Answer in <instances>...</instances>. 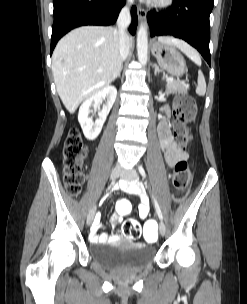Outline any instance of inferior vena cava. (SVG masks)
Listing matches in <instances>:
<instances>
[{"mask_svg": "<svg viewBox=\"0 0 247 304\" xmlns=\"http://www.w3.org/2000/svg\"><path fill=\"white\" fill-rule=\"evenodd\" d=\"M129 4L133 3V0H128ZM131 22V16L129 7H124L118 17L117 26H118V34H119V54L122 60H125L130 48V39L127 33V27Z\"/></svg>", "mask_w": 247, "mask_h": 304, "instance_id": "obj_1", "label": "inferior vena cava"}]
</instances>
